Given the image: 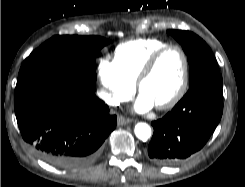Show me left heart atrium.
<instances>
[{
  "instance_id": "obj_1",
  "label": "left heart atrium",
  "mask_w": 245,
  "mask_h": 187,
  "mask_svg": "<svg viewBox=\"0 0 245 187\" xmlns=\"http://www.w3.org/2000/svg\"><path fill=\"white\" fill-rule=\"evenodd\" d=\"M154 106V104L152 103V101L146 97L144 94L140 93L136 104H135V109L138 112H145L149 109H151Z\"/></svg>"
}]
</instances>
